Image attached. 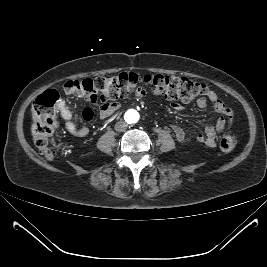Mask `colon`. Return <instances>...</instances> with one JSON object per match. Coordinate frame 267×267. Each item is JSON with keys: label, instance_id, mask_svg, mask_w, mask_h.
<instances>
[{"label": "colon", "instance_id": "5ec220e1", "mask_svg": "<svg viewBox=\"0 0 267 267\" xmlns=\"http://www.w3.org/2000/svg\"><path fill=\"white\" fill-rule=\"evenodd\" d=\"M74 85L83 88L93 102L107 103L125 98L131 94L163 97L171 102H188L206 96L209 88L204 83L187 77L169 75L139 76L133 72H123L115 76L76 80ZM59 94L55 90L42 93L32 106L31 133L35 145L48 160L55 156L52 136L57 128L56 108ZM238 142L236 134L226 133L220 141L223 151H231Z\"/></svg>", "mask_w": 267, "mask_h": 267}]
</instances>
